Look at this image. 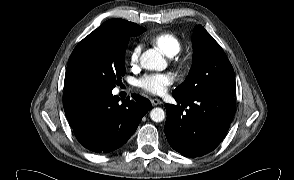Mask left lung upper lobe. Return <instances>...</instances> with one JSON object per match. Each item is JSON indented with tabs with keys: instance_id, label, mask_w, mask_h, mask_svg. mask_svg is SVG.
<instances>
[{
	"instance_id": "obj_1",
	"label": "left lung upper lobe",
	"mask_w": 294,
	"mask_h": 180,
	"mask_svg": "<svg viewBox=\"0 0 294 180\" xmlns=\"http://www.w3.org/2000/svg\"><path fill=\"white\" fill-rule=\"evenodd\" d=\"M193 64L185 81L173 94L236 96L235 74L226 54L203 26H195L192 36Z\"/></svg>"
}]
</instances>
